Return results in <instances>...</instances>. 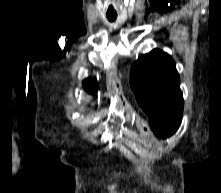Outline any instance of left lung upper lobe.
Wrapping results in <instances>:
<instances>
[{"label": "left lung upper lobe", "instance_id": "5c2ea615", "mask_svg": "<svg viewBox=\"0 0 221 193\" xmlns=\"http://www.w3.org/2000/svg\"><path fill=\"white\" fill-rule=\"evenodd\" d=\"M130 83L152 131L161 138L174 134L182 120L183 96L171 56L159 49L141 55L131 68Z\"/></svg>", "mask_w": 221, "mask_h": 193}]
</instances>
